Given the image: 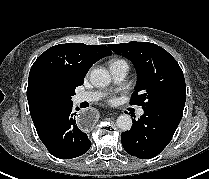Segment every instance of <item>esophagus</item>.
I'll use <instances>...</instances> for the list:
<instances>
[{
	"instance_id": "obj_1",
	"label": "esophagus",
	"mask_w": 209,
	"mask_h": 179,
	"mask_svg": "<svg viewBox=\"0 0 209 179\" xmlns=\"http://www.w3.org/2000/svg\"><path fill=\"white\" fill-rule=\"evenodd\" d=\"M98 119V113L94 109L79 110L74 117L77 127L84 132L90 131Z\"/></svg>"
}]
</instances>
